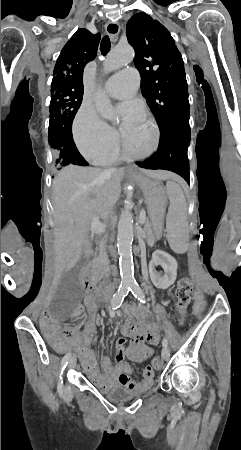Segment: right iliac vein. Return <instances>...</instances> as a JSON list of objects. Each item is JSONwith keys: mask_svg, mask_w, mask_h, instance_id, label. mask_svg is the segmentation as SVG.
Wrapping results in <instances>:
<instances>
[{"mask_svg": "<svg viewBox=\"0 0 241 450\" xmlns=\"http://www.w3.org/2000/svg\"><path fill=\"white\" fill-rule=\"evenodd\" d=\"M69 367H74L75 365H76V358H71L70 360H69ZM70 391H71V386H70V384H66L65 385V393L67 394V395H69L70 394Z\"/></svg>", "mask_w": 241, "mask_h": 450, "instance_id": "right-iliac-vein-1", "label": "right iliac vein"}]
</instances>
